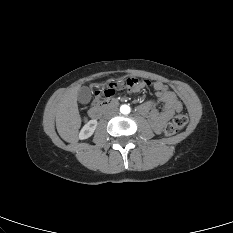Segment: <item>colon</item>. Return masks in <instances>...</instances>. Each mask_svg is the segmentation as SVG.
Returning <instances> with one entry per match:
<instances>
[{"label":"colon","instance_id":"obj_1","mask_svg":"<svg viewBox=\"0 0 233 233\" xmlns=\"http://www.w3.org/2000/svg\"><path fill=\"white\" fill-rule=\"evenodd\" d=\"M137 79L128 78L121 81L110 83L106 88L96 91L94 93L95 102L100 101L103 98H108L115 93L118 89L121 92L132 91L133 85L137 82ZM146 85H150V81H145ZM188 122V118L184 114L176 115L165 127L166 135H173L185 127Z\"/></svg>","mask_w":233,"mask_h":233}]
</instances>
